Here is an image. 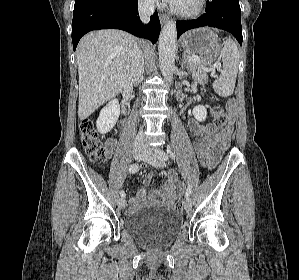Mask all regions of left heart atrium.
I'll return each instance as SVG.
<instances>
[{
    "mask_svg": "<svg viewBox=\"0 0 299 280\" xmlns=\"http://www.w3.org/2000/svg\"><path fill=\"white\" fill-rule=\"evenodd\" d=\"M166 2H168L169 4H175L177 2V0H164Z\"/></svg>",
    "mask_w": 299,
    "mask_h": 280,
    "instance_id": "39dd6f15",
    "label": "left heart atrium"
}]
</instances>
